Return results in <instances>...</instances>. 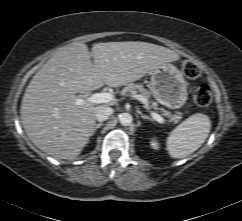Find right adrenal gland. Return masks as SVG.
<instances>
[{"label": "right adrenal gland", "mask_w": 242, "mask_h": 221, "mask_svg": "<svg viewBox=\"0 0 242 221\" xmlns=\"http://www.w3.org/2000/svg\"><path fill=\"white\" fill-rule=\"evenodd\" d=\"M102 125H103L102 122H99L98 124H96L95 127H94V129H93V133H95L96 130H97L98 128H100Z\"/></svg>", "instance_id": "1"}]
</instances>
